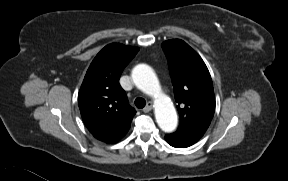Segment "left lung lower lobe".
I'll use <instances>...</instances> for the list:
<instances>
[{
	"label": "left lung lower lobe",
	"instance_id": "obj_1",
	"mask_svg": "<svg viewBox=\"0 0 288 181\" xmlns=\"http://www.w3.org/2000/svg\"><path fill=\"white\" fill-rule=\"evenodd\" d=\"M203 132H179L176 131L165 135L168 144L176 148H186L196 143L202 136Z\"/></svg>",
	"mask_w": 288,
	"mask_h": 181
}]
</instances>
